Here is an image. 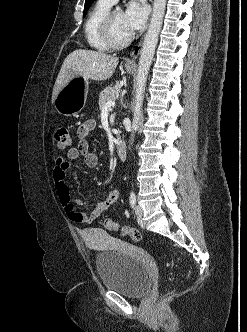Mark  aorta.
<instances>
[{"label":"aorta","instance_id":"obj_1","mask_svg":"<svg viewBox=\"0 0 247 332\" xmlns=\"http://www.w3.org/2000/svg\"><path fill=\"white\" fill-rule=\"evenodd\" d=\"M165 7L166 0H154L152 17L149 29L144 38L136 77L135 106L132 121L133 131L131 134L132 141L134 138V131L137 130L140 123L141 109L143 104L147 76L155 53L159 33L162 27ZM116 10H120V7H117Z\"/></svg>","mask_w":247,"mask_h":332}]
</instances>
